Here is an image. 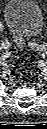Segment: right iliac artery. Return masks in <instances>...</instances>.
I'll return each instance as SVG.
<instances>
[{"instance_id": "obj_1", "label": "right iliac artery", "mask_w": 47, "mask_h": 129, "mask_svg": "<svg viewBox=\"0 0 47 129\" xmlns=\"http://www.w3.org/2000/svg\"><path fill=\"white\" fill-rule=\"evenodd\" d=\"M7 43H8L7 40H3V41H2V44H3V45H5V44H7Z\"/></svg>"}]
</instances>
